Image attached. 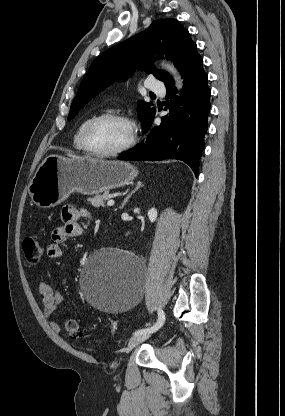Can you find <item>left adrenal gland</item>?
I'll use <instances>...</instances> for the list:
<instances>
[{"label":"left adrenal gland","instance_id":"obj_1","mask_svg":"<svg viewBox=\"0 0 285 416\" xmlns=\"http://www.w3.org/2000/svg\"><path fill=\"white\" fill-rule=\"evenodd\" d=\"M142 186H144L143 182H137L136 188H134L133 192H131V194H129V196H127V198H124L123 204H121V206H120V210H122V208H124L125 204H127L128 200H129V198H131L132 194H135V192H137V190H139V188H142Z\"/></svg>","mask_w":285,"mask_h":416}]
</instances>
